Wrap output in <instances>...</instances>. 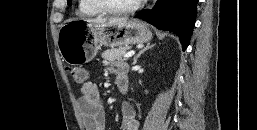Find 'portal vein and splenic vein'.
I'll return each instance as SVG.
<instances>
[{
	"label": "portal vein and splenic vein",
	"instance_id": "18ae733b",
	"mask_svg": "<svg viewBox=\"0 0 257 130\" xmlns=\"http://www.w3.org/2000/svg\"><path fill=\"white\" fill-rule=\"evenodd\" d=\"M135 54V51H129V52H127L125 55H124V58H129V57H131V56H133Z\"/></svg>",
	"mask_w": 257,
	"mask_h": 130
}]
</instances>
